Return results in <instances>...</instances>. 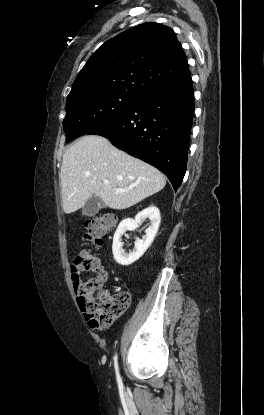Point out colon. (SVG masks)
Masks as SVG:
<instances>
[{"instance_id": "colon-1", "label": "colon", "mask_w": 264, "mask_h": 415, "mask_svg": "<svg viewBox=\"0 0 264 415\" xmlns=\"http://www.w3.org/2000/svg\"><path fill=\"white\" fill-rule=\"evenodd\" d=\"M115 224V218L106 215L86 221L83 238L85 241L99 245L108 236ZM71 271H93L95 275L80 284L78 303L91 327L103 329L110 327L117 317L122 315L130 305L127 291L110 293L104 286L108 273L98 268L97 258L86 249L71 262Z\"/></svg>"}]
</instances>
